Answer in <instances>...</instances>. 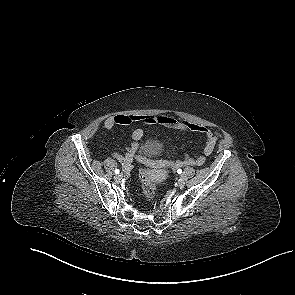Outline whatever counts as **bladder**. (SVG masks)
I'll return each instance as SVG.
<instances>
[{"instance_id":"obj_1","label":"bladder","mask_w":295,"mask_h":295,"mask_svg":"<svg viewBox=\"0 0 295 295\" xmlns=\"http://www.w3.org/2000/svg\"><path fill=\"white\" fill-rule=\"evenodd\" d=\"M161 150V145L156 141H148L141 146V152L144 156L151 158L156 156Z\"/></svg>"}]
</instances>
